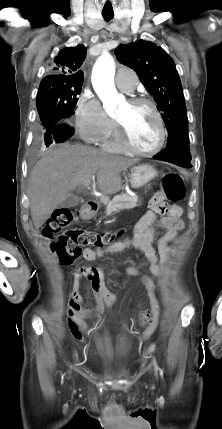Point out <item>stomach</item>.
Here are the masks:
<instances>
[{
    "label": "stomach",
    "mask_w": 222,
    "mask_h": 429,
    "mask_svg": "<svg viewBox=\"0 0 222 429\" xmlns=\"http://www.w3.org/2000/svg\"><path fill=\"white\" fill-rule=\"evenodd\" d=\"M156 169L149 165H139L132 169L130 174L131 187L134 189L142 188L157 176Z\"/></svg>",
    "instance_id": "stomach-1"
}]
</instances>
